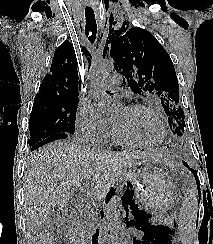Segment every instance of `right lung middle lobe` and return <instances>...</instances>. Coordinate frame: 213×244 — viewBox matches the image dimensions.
Segmentation results:
<instances>
[{
    "label": "right lung middle lobe",
    "mask_w": 213,
    "mask_h": 244,
    "mask_svg": "<svg viewBox=\"0 0 213 244\" xmlns=\"http://www.w3.org/2000/svg\"><path fill=\"white\" fill-rule=\"evenodd\" d=\"M78 101L71 98L35 99L29 121V146L60 133L73 134Z\"/></svg>",
    "instance_id": "right-lung-middle-lobe-1"
}]
</instances>
